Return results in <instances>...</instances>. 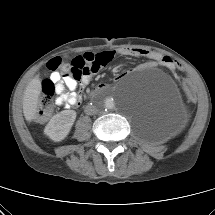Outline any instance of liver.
<instances>
[{"label": "liver", "instance_id": "6515ba94", "mask_svg": "<svg viewBox=\"0 0 215 215\" xmlns=\"http://www.w3.org/2000/svg\"><path fill=\"white\" fill-rule=\"evenodd\" d=\"M42 84L38 75H36L26 87L23 96V113L24 117L28 122H31L36 118L39 97L41 94Z\"/></svg>", "mask_w": 215, "mask_h": 215}]
</instances>
